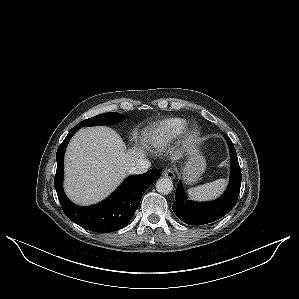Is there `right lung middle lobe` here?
I'll list each match as a JSON object with an SVG mask.
<instances>
[{
	"label": "right lung middle lobe",
	"mask_w": 299,
	"mask_h": 299,
	"mask_svg": "<svg viewBox=\"0 0 299 299\" xmlns=\"http://www.w3.org/2000/svg\"><path fill=\"white\" fill-rule=\"evenodd\" d=\"M121 118L122 116L116 112L104 113L83 120L77 125V127L80 128V127H87V126H94V125L112 124L118 122Z\"/></svg>",
	"instance_id": "obj_1"
}]
</instances>
